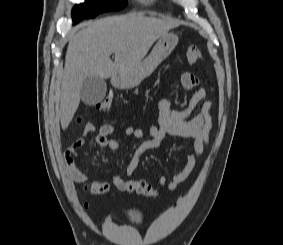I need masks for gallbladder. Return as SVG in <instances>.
Masks as SVG:
<instances>
[{
    "label": "gallbladder",
    "mask_w": 283,
    "mask_h": 245,
    "mask_svg": "<svg viewBox=\"0 0 283 245\" xmlns=\"http://www.w3.org/2000/svg\"><path fill=\"white\" fill-rule=\"evenodd\" d=\"M106 91L107 85L104 79L98 76H89L81 86V100L86 105H94L104 99Z\"/></svg>",
    "instance_id": "1"
}]
</instances>
